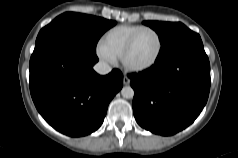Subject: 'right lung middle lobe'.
<instances>
[{
    "instance_id": "right-lung-middle-lobe-1",
    "label": "right lung middle lobe",
    "mask_w": 238,
    "mask_h": 158,
    "mask_svg": "<svg viewBox=\"0 0 238 158\" xmlns=\"http://www.w3.org/2000/svg\"><path fill=\"white\" fill-rule=\"evenodd\" d=\"M115 24V21L101 17L66 12L40 30L35 45L49 37L60 36L73 41L87 51L96 52L99 38Z\"/></svg>"
}]
</instances>
